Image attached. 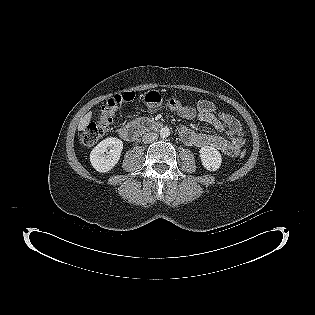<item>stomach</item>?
Here are the masks:
<instances>
[{
    "label": "stomach",
    "instance_id": "0dacf381",
    "mask_svg": "<svg viewBox=\"0 0 315 315\" xmlns=\"http://www.w3.org/2000/svg\"><path fill=\"white\" fill-rule=\"evenodd\" d=\"M144 100L148 107L156 108L162 104V95L158 90H151L145 94Z\"/></svg>",
    "mask_w": 315,
    "mask_h": 315
}]
</instances>
